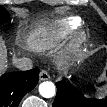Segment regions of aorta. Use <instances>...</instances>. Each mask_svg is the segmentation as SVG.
<instances>
[{
    "mask_svg": "<svg viewBox=\"0 0 107 107\" xmlns=\"http://www.w3.org/2000/svg\"><path fill=\"white\" fill-rule=\"evenodd\" d=\"M39 93L44 98H51L56 94V87L50 81L42 82L39 85Z\"/></svg>",
    "mask_w": 107,
    "mask_h": 107,
    "instance_id": "1",
    "label": "aorta"
}]
</instances>
